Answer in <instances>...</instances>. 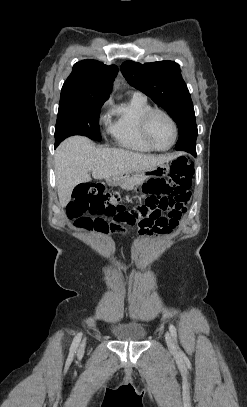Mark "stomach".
<instances>
[{
	"label": "stomach",
	"mask_w": 247,
	"mask_h": 407,
	"mask_svg": "<svg viewBox=\"0 0 247 407\" xmlns=\"http://www.w3.org/2000/svg\"><path fill=\"white\" fill-rule=\"evenodd\" d=\"M169 163H164L158 166H139V169H131L130 174L116 175L106 178V182L111 186L123 184L129 178L146 179L155 177H163L169 173Z\"/></svg>",
	"instance_id": "obj_1"
}]
</instances>
